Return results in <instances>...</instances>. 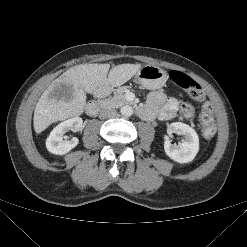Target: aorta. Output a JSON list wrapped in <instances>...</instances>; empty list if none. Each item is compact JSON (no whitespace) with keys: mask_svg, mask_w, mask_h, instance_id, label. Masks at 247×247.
I'll return each mask as SVG.
<instances>
[{"mask_svg":"<svg viewBox=\"0 0 247 247\" xmlns=\"http://www.w3.org/2000/svg\"><path fill=\"white\" fill-rule=\"evenodd\" d=\"M120 112L125 117H130L133 114V108L129 105L121 107Z\"/></svg>","mask_w":247,"mask_h":247,"instance_id":"762f6f07","label":"aorta"}]
</instances>
